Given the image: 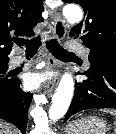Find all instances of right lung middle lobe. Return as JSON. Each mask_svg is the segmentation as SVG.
I'll return each instance as SVG.
<instances>
[{
	"label": "right lung middle lobe",
	"mask_w": 116,
	"mask_h": 134,
	"mask_svg": "<svg viewBox=\"0 0 116 134\" xmlns=\"http://www.w3.org/2000/svg\"><path fill=\"white\" fill-rule=\"evenodd\" d=\"M8 69V61L0 62V92L10 89L15 79H9V75L6 74Z\"/></svg>",
	"instance_id": "dd1d6c3e"
}]
</instances>
